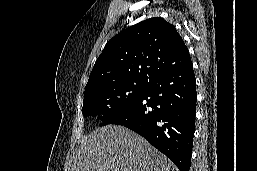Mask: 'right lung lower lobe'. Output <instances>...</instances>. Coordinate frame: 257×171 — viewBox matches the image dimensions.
<instances>
[{
	"instance_id": "obj_1",
	"label": "right lung lower lobe",
	"mask_w": 257,
	"mask_h": 171,
	"mask_svg": "<svg viewBox=\"0 0 257 171\" xmlns=\"http://www.w3.org/2000/svg\"><path fill=\"white\" fill-rule=\"evenodd\" d=\"M192 61L148 84L144 92L105 124L123 125L143 136L170 158L180 171H189L196 113Z\"/></svg>"
}]
</instances>
